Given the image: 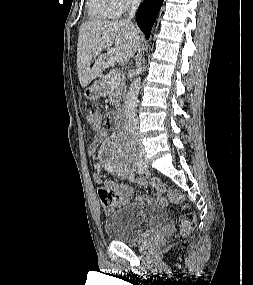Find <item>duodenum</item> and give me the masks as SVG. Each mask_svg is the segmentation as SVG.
<instances>
[{"instance_id": "1", "label": "duodenum", "mask_w": 253, "mask_h": 285, "mask_svg": "<svg viewBox=\"0 0 253 285\" xmlns=\"http://www.w3.org/2000/svg\"><path fill=\"white\" fill-rule=\"evenodd\" d=\"M123 120V108L117 109V111L112 116L113 126L117 127Z\"/></svg>"}]
</instances>
